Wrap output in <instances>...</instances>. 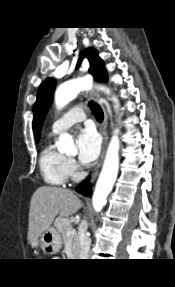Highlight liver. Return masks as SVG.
Masks as SVG:
<instances>
[{"mask_svg": "<svg viewBox=\"0 0 175 287\" xmlns=\"http://www.w3.org/2000/svg\"><path fill=\"white\" fill-rule=\"evenodd\" d=\"M82 206V201L69 189L53 186L37 188L30 201L28 242L31 244L48 230L58 214L68 218Z\"/></svg>", "mask_w": 175, "mask_h": 287, "instance_id": "1", "label": "liver"}]
</instances>
